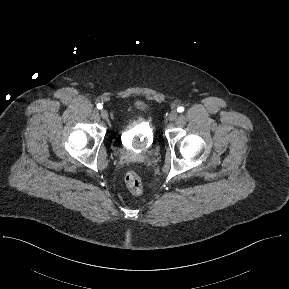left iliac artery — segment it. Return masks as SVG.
I'll list each match as a JSON object with an SVG mask.
<instances>
[{"instance_id": "left-iliac-artery-1", "label": "left iliac artery", "mask_w": 289, "mask_h": 289, "mask_svg": "<svg viewBox=\"0 0 289 289\" xmlns=\"http://www.w3.org/2000/svg\"><path fill=\"white\" fill-rule=\"evenodd\" d=\"M184 111V107L180 106L177 108V112L182 113Z\"/></svg>"}]
</instances>
